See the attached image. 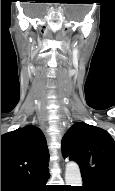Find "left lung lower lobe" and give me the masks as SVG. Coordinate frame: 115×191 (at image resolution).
Returning <instances> with one entry per match:
<instances>
[{"label": "left lung lower lobe", "mask_w": 115, "mask_h": 191, "mask_svg": "<svg viewBox=\"0 0 115 191\" xmlns=\"http://www.w3.org/2000/svg\"><path fill=\"white\" fill-rule=\"evenodd\" d=\"M78 191H107V190L93 183H83V186L79 187Z\"/></svg>", "instance_id": "1"}]
</instances>
